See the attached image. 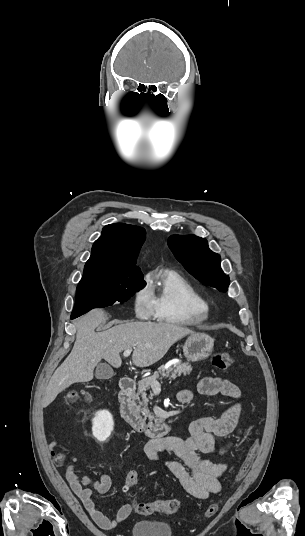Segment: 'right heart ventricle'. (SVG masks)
<instances>
[{
    "instance_id": "e07e8e85",
    "label": "right heart ventricle",
    "mask_w": 305,
    "mask_h": 536,
    "mask_svg": "<svg viewBox=\"0 0 305 536\" xmlns=\"http://www.w3.org/2000/svg\"><path fill=\"white\" fill-rule=\"evenodd\" d=\"M149 288L158 320L179 325H198L208 320L206 300L177 271L158 272Z\"/></svg>"
}]
</instances>
